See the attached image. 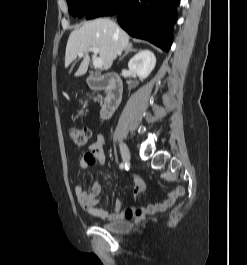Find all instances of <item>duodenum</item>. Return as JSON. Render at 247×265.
<instances>
[{
    "label": "duodenum",
    "instance_id": "1",
    "mask_svg": "<svg viewBox=\"0 0 247 265\" xmlns=\"http://www.w3.org/2000/svg\"><path fill=\"white\" fill-rule=\"evenodd\" d=\"M88 84L92 89H106L107 98L101 109L103 119L109 118L120 104L122 98V81L113 74L107 73L100 77L88 78Z\"/></svg>",
    "mask_w": 247,
    "mask_h": 265
}]
</instances>
